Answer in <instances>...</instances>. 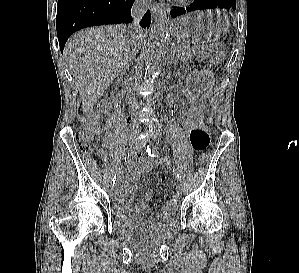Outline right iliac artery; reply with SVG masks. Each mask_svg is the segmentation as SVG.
Instances as JSON below:
<instances>
[{"label":"right iliac artery","instance_id":"82829eb1","mask_svg":"<svg viewBox=\"0 0 299 273\" xmlns=\"http://www.w3.org/2000/svg\"><path fill=\"white\" fill-rule=\"evenodd\" d=\"M137 157V152H130V153H128L126 156H125V158H124V162L125 163H130L133 159H135ZM116 179H117V177H116V174H115V176H114V178H113V185L115 184V182H116Z\"/></svg>","mask_w":299,"mask_h":273}]
</instances>
